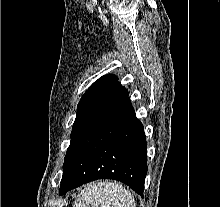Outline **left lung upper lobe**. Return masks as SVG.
<instances>
[{"label":"left lung upper lobe","mask_w":220,"mask_h":207,"mask_svg":"<svg viewBox=\"0 0 220 207\" xmlns=\"http://www.w3.org/2000/svg\"><path fill=\"white\" fill-rule=\"evenodd\" d=\"M117 82L118 78L109 74L99 78L89 87L78 104L71 135Z\"/></svg>","instance_id":"1"}]
</instances>
